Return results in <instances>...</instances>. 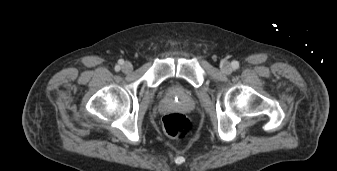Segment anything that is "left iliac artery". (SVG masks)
<instances>
[{
  "instance_id": "1",
  "label": "left iliac artery",
  "mask_w": 337,
  "mask_h": 171,
  "mask_svg": "<svg viewBox=\"0 0 337 171\" xmlns=\"http://www.w3.org/2000/svg\"><path fill=\"white\" fill-rule=\"evenodd\" d=\"M232 67H233L234 69H237V68L239 67L238 61H233V62H232Z\"/></svg>"
}]
</instances>
